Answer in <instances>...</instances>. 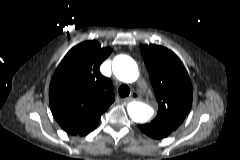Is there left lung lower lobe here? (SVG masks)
<instances>
[{
	"label": "left lung lower lobe",
	"instance_id": "obj_1",
	"mask_svg": "<svg viewBox=\"0 0 240 160\" xmlns=\"http://www.w3.org/2000/svg\"><path fill=\"white\" fill-rule=\"evenodd\" d=\"M139 128L143 133L154 139H162L169 135L164 131L152 126L150 123L139 125Z\"/></svg>",
	"mask_w": 240,
	"mask_h": 160
}]
</instances>
